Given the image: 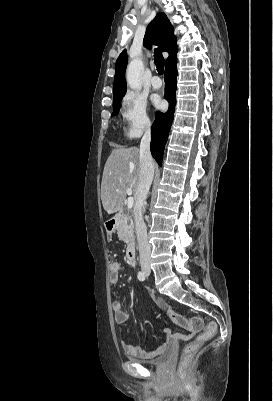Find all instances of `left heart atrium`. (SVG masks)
I'll list each match as a JSON object with an SVG mask.
<instances>
[{
    "label": "left heart atrium",
    "instance_id": "left-heart-atrium-1",
    "mask_svg": "<svg viewBox=\"0 0 273 401\" xmlns=\"http://www.w3.org/2000/svg\"><path fill=\"white\" fill-rule=\"evenodd\" d=\"M156 106H158V107H160V108H163V107H164V104L158 101V102H156Z\"/></svg>",
    "mask_w": 273,
    "mask_h": 401
}]
</instances>
